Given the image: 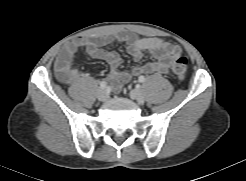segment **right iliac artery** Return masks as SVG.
I'll list each match as a JSON object with an SVG mask.
<instances>
[{
	"mask_svg": "<svg viewBox=\"0 0 246 181\" xmlns=\"http://www.w3.org/2000/svg\"><path fill=\"white\" fill-rule=\"evenodd\" d=\"M100 87L102 88V89H105L106 87H107V83H106V81H101L100 82Z\"/></svg>",
	"mask_w": 246,
	"mask_h": 181,
	"instance_id": "1",
	"label": "right iliac artery"
}]
</instances>
